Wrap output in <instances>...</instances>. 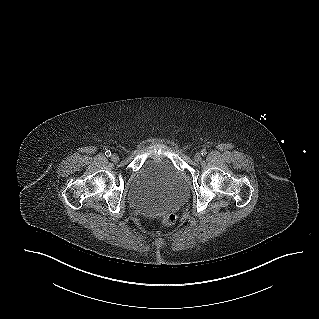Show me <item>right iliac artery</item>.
<instances>
[{"mask_svg":"<svg viewBox=\"0 0 319 319\" xmlns=\"http://www.w3.org/2000/svg\"><path fill=\"white\" fill-rule=\"evenodd\" d=\"M111 151L110 150H107L106 152H105V155L107 156V157H110L111 156Z\"/></svg>","mask_w":319,"mask_h":319,"instance_id":"right-iliac-artery-1","label":"right iliac artery"}]
</instances>
